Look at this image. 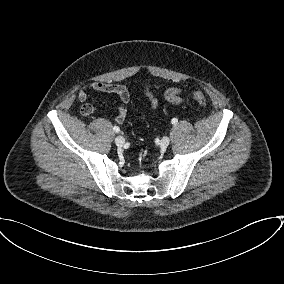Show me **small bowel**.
I'll use <instances>...</instances> for the list:
<instances>
[{
    "label": "small bowel",
    "instance_id": "1",
    "mask_svg": "<svg viewBox=\"0 0 284 284\" xmlns=\"http://www.w3.org/2000/svg\"><path fill=\"white\" fill-rule=\"evenodd\" d=\"M159 84H149L144 88V95L150 103V109L155 111L159 106V99L154 94V90L159 89ZM97 91L102 93L116 94L120 98V106L115 121L122 124L127 116V109L129 104L128 89L120 84L106 83L101 81L91 82L84 86L78 93V98L83 105L81 106L80 113L82 116H90L96 111V108L91 103H88L89 91ZM183 89L181 87H170L164 92V99L173 105H179L184 101Z\"/></svg>",
    "mask_w": 284,
    "mask_h": 284
}]
</instances>
